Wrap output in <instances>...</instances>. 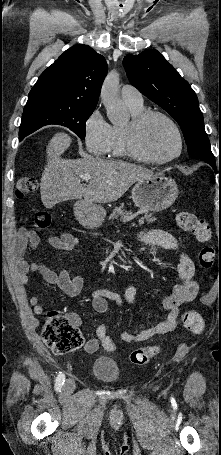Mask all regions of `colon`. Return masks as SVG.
Returning <instances> with one entry per match:
<instances>
[{
    "mask_svg": "<svg viewBox=\"0 0 221 455\" xmlns=\"http://www.w3.org/2000/svg\"><path fill=\"white\" fill-rule=\"evenodd\" d=\"M37 181L29 176H21L16 182L15 194L17 197L27 196L37 189ZM177 223L185 232L193 234L197 240L204 244L199 254L200 265L208 269L212 267L216 250L211 243V232L207 223L191 212H180ZM33 226L38 230H45L51 225V217L44 212L33 216ZM183 323L186 328L194 333L202 332L204 322L202 315L195 310L183 314ZM44 343L55 353H67L78 349L83 344V336L79 328L70 317L58 312H50L42 331ZM158 352L157 347L139 348L132 351L130 359L135 365L147 364Z\"/></svg>",
    "mask_w": 221,
    "mask_h": 455,
    "instance_id": "5ec220e1",
    "label": "colon"
}]
</instances>
